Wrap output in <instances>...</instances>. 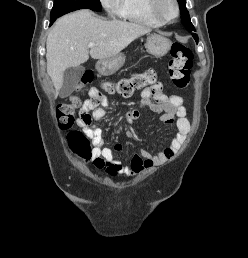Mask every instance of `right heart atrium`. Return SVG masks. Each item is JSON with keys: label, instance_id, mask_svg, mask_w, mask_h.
I'll return each mask as SVG.
<instances>
[{"label": "right heart atrium", "instance_id": "obj_1", "mask_svg": "<svg viewBox=\"0 0 248 258\" xmlns=\"http://www.w3.org/2000/svg\"><path fill=\"white\" fill-rule=\"evenodd\" d=\"M123 0H100L101 5L110 16H118L122 11Z\"/></svg>", "mask_w": 248, "mask_h": 258}]
</instances>
